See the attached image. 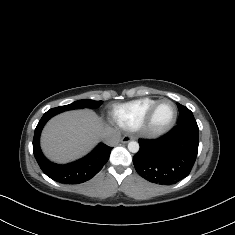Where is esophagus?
Returning <instances> with one entry per match:
<instances>
[{
  "instance_id": "obj_1",
  "label": "esophagus",
  "mask_w": 235,
  "mask_h": 235,
  "mask_svg": "<svg viewBox=\"0 0 235 235\" xmlns=\"http://www.w3.org/2000/svg\"><path fill=\"white\" fill-rule=\"evenodd\" d=\"M133 139H135V138H134L133 136H131V135H124V136L121 138L120 142L123 143V144H125V143L130 142V141L133 140Z\"/></svg>"
}]
</instances>
